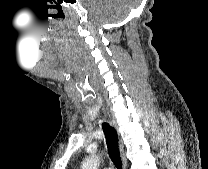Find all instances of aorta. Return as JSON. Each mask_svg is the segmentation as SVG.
<instances>
[{"instance_id": "762f6f07", "label": "aorta", "mask_w": 208, "mask_h": 169, "mask_svg": "<svg viewBox=\"0 0 208 169\" xmlns=\"http://www.w3.org/2000/svg\"><path fill=\"white\" fill-rule=\"evenodd\" d=\"M97 166H98V157L91 156L85 159L81 169H97Z\"/></svg>"}]
</instances>
